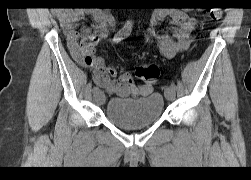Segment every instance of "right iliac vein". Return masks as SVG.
I'll return each instance as SVG.
<instances>
[{
	"mask_svg": "<svg viewBox=\"0 0 251 180\" xmlns=\"http://www.w3.org/2000/svg\"><path fill=\"white\" fill-rule=\"evenodd\" d=\"M94 101L97 105H102L105 101V95L102 91L97 92L94 94Z\"/></svg>",
	"mask_w": 251,
	"mask_h": 180,
	"instance_id": "obj_1",
	"label": "right iliac vein"
}]
</instances>
